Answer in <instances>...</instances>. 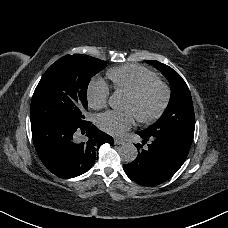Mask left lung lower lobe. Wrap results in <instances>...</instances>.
Instances as JSON below:
<instances>
[{"label":"left lung lower lobe","instance_id":"1","mask_svg":"<svg viewBox=\"0 0 228 228\" xmlns=\"http://www.w3.org/2000/svg\"><path fill=\"white\" fill-rule=\"evenodd\" d=\"M138 134L137 158L124 165V171L135 182L156 186L170 179L183 165L191 147L193 136L161 130H143Z\"/></svg>","mask_w":228,"mask_h":228}]
</instances>
